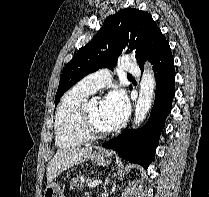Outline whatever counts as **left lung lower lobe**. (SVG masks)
I'll list each match as a JSON object with an SVG mask.
<instances>
[{"label":"left lung lower lobe","mask_w":209,"mask_h":197,"mask_svg":"<svg viewBox=\"0 0 209 197\" xmlns=\"http://www.w3.org/2000/svg\"><path fill=\"white\" fill-rule=\"evenodd\" d=\"M149 61L156 72L155 103L150 119L141 129H125L121 135L103 144L105 148L116 150L121 158L140 164L145 169L154 160L160 133L175 94L174 60L169 43L164 41ZM140 68L143 71V64Z\"/></svg>","instance_id":"1"}]
</instances>
